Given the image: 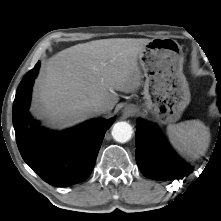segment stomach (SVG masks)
<instances>
[{"mask_svg":"<svg viewBox=\"0 0 221 221\" xmlns=\"http://www.w3.org/2000/svg\"><path fill=\"white\" fill-rule=\"evenodd\" d=\"M139 62L145 77L142 114L161 124L178 121L190 102L182 47L171 38H154L140 52Z\"/></svg>","mask_w":221,"mask_h":221,"instance_id":"stomach-1","label":"stomach"}]
</instances>
